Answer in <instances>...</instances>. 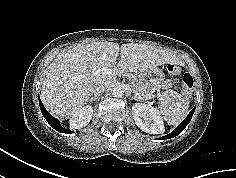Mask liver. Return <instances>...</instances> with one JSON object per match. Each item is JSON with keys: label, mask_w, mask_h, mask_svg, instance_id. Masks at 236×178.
<instances>
[{"label": "liver", "mask_w": 236, "mask_h": 178, "mask_svg": "<svg viewBox=\"0 0 236 178\" xmlns=\"http://www.w3.org/2000/svg\"><path fill=\"white\" fill-rule=\"evenodd\" d=\"M119 52L121 59L117 63ZM168 63H176L172 53L145 44L104 41L77 45L58 55L46 68L41 100L52 115L68 119L87 104L94 86L111 83L115 77L94 74L102 67L113 68L119 74L146 71Z\"/></svg>", "instance_id": "liver-1"}]
</instances>
